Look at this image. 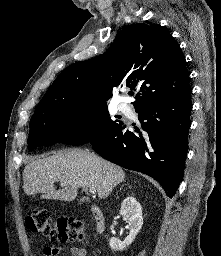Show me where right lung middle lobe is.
Returning <instances> with one entry per match:
<instances>
[{
	"mask_svg": "<svg viewBox=\"0 0 221 256\" xmlns=\"http://www.w3.org/2000/svg\"><path fill=\"white\" fill-rule=\"evenodd\" d=\"M63 103L57 101L33 114L28 148L48 146L55 142L85 144L118 123L109 116L106 103Z\"/></svg>",
	"mask_w": 221,
	"mask_h": 256,
	"instance_id": "dd1d6c3e",
	"label": "right lung middle lobe"
}]
</instances>
